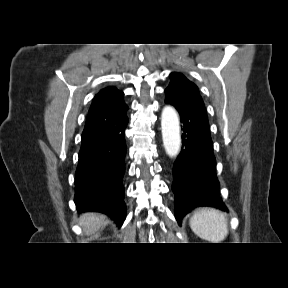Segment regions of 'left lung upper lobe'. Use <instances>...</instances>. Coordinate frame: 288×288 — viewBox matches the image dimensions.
Here are the masks:
<instances>
[{"label": "left lung upper lobe", "mask_w": 288, "mask_h": 288, "mask_svg": "<svg viewBox=\"0 0 288 288\" xmlns=\"http://www.w3.org/2000/svg\"><path fill=\"white\" fill-rule=\"evenodd\" d=\"M171 82L165 90V94L182 101L203 100L199 94L198 87L180 73H171Z\"/></svg>", "instance_id": "1"}]
</instances>
